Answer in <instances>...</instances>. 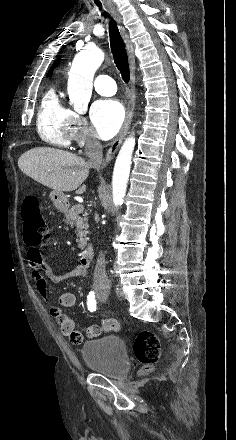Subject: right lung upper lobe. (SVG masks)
I'll list each match as a JSON object with an SVG mask.
<instances>
[{
	"label": "right lung upper lobe",
	"mask_w": 236,
	"mask_h": 440,
	"mask_svg": "<svg viewBox=\"0 0 236 440\" xmlns=\"http://www.w3.org/2000/svg\"><path fill=\"white\" fill-rule=\"evenodd\" d=\"M60 58H61V56H59L57 59H56V61L54 62V64L52 65V67L50 68V70H49V72H48V75L53 71V69L59 64V62H60Z\"/></svg>",
	"instance_id": "cb5924a9"
}]
</instances>
